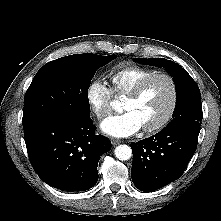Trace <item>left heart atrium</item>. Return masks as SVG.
<instances>
[{
	"label": "left heart atrium",
	"instance_id": "39dd6f15",
	"mask_svg": "<svg viewBox=\"0 0 221 221\" xmlns=\"http://www.w3.org/2000/svg\"><path fill=\"white\" fill-rule=\"evenodd\" d=\"M100 127L105 134L121 138L133 135L141 129L142 124L134 112L126 111L106 118Z\"/></svg>",
	"mask_w": 221,
	"mask_h": 221
}]
</instances>
